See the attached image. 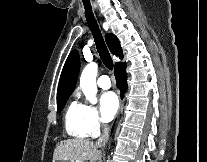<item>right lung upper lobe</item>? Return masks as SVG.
Instances as JSON below:
<instances>
[{
  "label": "right lung upper lobe",
  "instance_id": "cb5924a9",
  "mask_svg": "<svg viewBox=\"0 0 207 162\" xmlns=\"http://www.w3.org/2000/svg\"><path fill=\"white\" fill-rule=\"evenodd\" d=\"M105 38L110 51L114 55L122 58V49L118 39L112 34L106 35ZM119 65L120 63H117L115 67ZM79 68L80 62L78 52L76 50H73L69 54L61 73L57 91V100L64 97H69L72 94L75 88Z\"/></svg>",
  "mask_w": 207,
  "mask_h": 162
}]
</instances>
